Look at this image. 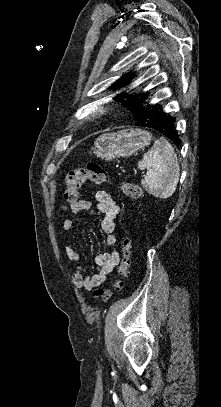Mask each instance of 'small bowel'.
<instances>
[{
  "label": "small bowel",
  "mask_w": 221,
  "mask_h": 407,
  "mask_svg": "<svg viewBox=\"0 0 221 407\" xmlns=\"http://www.w3.org/2000/svg\"><path fill=\"white\" fill-rule=\"evenodd\" d=\"M94 196L96 200L95 209H93L90 201L80 200L77 204L70 206V211L75 215L84 211L89 214L103 215L101 227L106 234V243L109 247H114L117 241V237L114 233L115 222L120 207L105 191L98 190L95 192ZM75 228L76 225L72 219L64 220L63 229L66 232H73ZM64 248L69 260L75 264V269L71 275L72 283L77 289L81 290H91L94 287L101 285L111 274L119 259V255L114 249L110 252L102 253L96 257L98 270L91 276H84L81 257L74 247L73 241L71 239L66 240Z\"/></svg>",
  "instance_id": "obj_1"
}]
</instances>
